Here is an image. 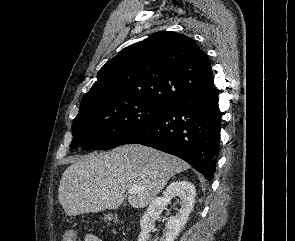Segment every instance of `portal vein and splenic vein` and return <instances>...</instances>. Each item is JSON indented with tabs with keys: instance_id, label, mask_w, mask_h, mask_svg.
<instances>
[{
	"instance_id": "portal-vein-and-splenic-vein-1",
	"label": "portal vein and splenic vein",
	"mask_w": 295,
	"mask_h": 241,
	"mask_svg": "<svg viewBox=\"0 0 295 241\" xmlns=\"http://www.w3.org/2000/svg\"><path fill=\"white\" fill-rule=\"evenodd\" d=\"M142 188L137 186V185H133L131 187L128 188V193L129 194H135L137 192H139Z\"/></svg>"
}]
</instances>
